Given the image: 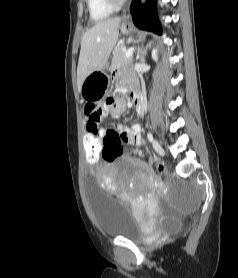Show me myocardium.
<instances>
[{"label":"myocardium","mask_w":238,"mask_h":278,"mask_svg":"<svg viewBox=\"0 0 238 278\" xmlns=\"http://www.w3.org/2000/svg\"><path fill=\"white\" fill-rule=\"evenodd\" d=\"M106 5L112 10L118 9L126 0H104Z\"/></svg>","instance_id":"obj_1"}]
</instances>
